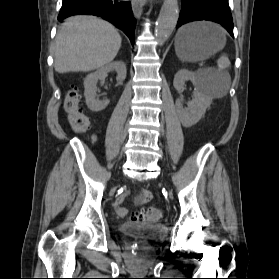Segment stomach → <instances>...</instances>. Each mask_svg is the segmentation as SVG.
<instances>
[{
	"label": "stomach",
	"mask_w": 279,
	"mask_h": 279,
	"mask_svg": "<svg viewBox=\"0 0 279 279\" xmlns=\"http://www.w3.org/2000/svg\"><path fill=\"white\" fill-rule=\"evenodd\" d=\"M226 43L224 31L209 22L182 27L175 38V52L182 61L196 62L221 50Z\"/></svg>",
	"instance_id": "obj_1"
}]
</instances>
